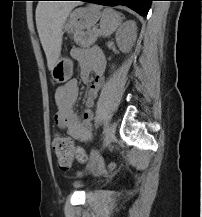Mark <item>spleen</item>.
<instances>
[{
  "instance_id": "3e777b00",
  "label": "spleen",
  "mask_w": 202,
  "mask_h": 217,
  "mask_svg": "<svg viewBox=\"0 0 202 217\" xmlns=\"http://www.w3.org/2000/svg\"><path fill=\"white\" fill-rule=\"evenodd\" d=\"M97 9L98 6H94ZM121 23L120 15L113 9L106 8L101 15L100 27L103 36H109L119 27Z\"/></svg>"
}]
</instances>
